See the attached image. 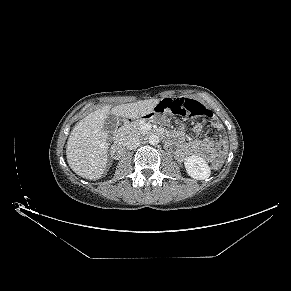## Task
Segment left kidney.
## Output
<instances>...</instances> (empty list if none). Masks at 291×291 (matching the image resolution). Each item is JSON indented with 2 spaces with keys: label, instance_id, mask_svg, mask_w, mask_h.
<instances>
[{
  "label": "left kidney",
  "instance_id": "1",
  "mask_svg": "<svg viewBox=\"0 0 291 291\" xmlns=\"http://www.w3.org/2000/svg\"><path fill=\"white\" fill-rule=\"evenodd\" d=\"M187 174L194 179L204 180L210 177V167L206 161L199 156L187 157L184 161Z\"/></svg>",
  "mask_w": 291,
  "mask_h": 291
}]
</instances>
